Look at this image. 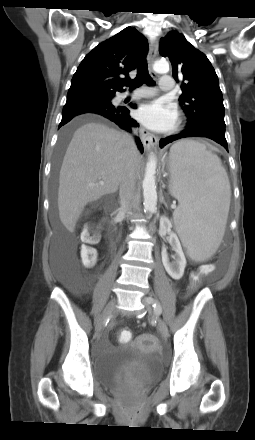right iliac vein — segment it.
<instances>
[{
    "instance_id": "63e3f726",
    "label": "right iliac vein",
    "mask_w": 255,
    "mask_h": 440,
    "mask_svg": "<svg viewBox=\"0 0 255 440\" xmlns=\"http://www.w3.org/2000/svg\"><path fill=\"white\" fill-rule=\"evenodd\" d=\"M116 305V299H112L105 307L101 317L99 318L97 325H96V334L98 335L106 322L107 319H109L115 309Z\"/></svg>"
}]
</instances>
